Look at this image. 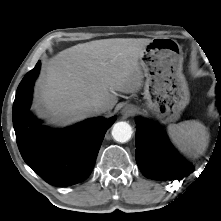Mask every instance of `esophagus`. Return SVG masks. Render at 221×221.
I'll use <instances>...</instances> for the list:
<instances>
[{
  "label": "esophagus",
  "instance_id": "obj_1",
  "mask_svg": "<svg viewBox=\"0 0 221 221\" xmlns=\"http://www.w3.org/2000/svg\"><path fill=\"white\" fill-rule=\"evenodd\" d=\"M135 110L133 107L130 106H125L122 110H121V114L123 117H129L132 116L134 114Z\"/></svg>",
  "mask_w": 221,
  "mask_h": 221
}]
</instances>
